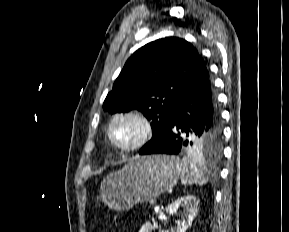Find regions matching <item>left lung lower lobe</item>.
Listing matches in <instances>:
<instances>
[{
  "label": "left lung lower lobe",
  "mask_w": 289,
  "mask_h": 232,
  "mask_svg": "<svg viewBox=\"0 0 289 232\" xmlns=\"http://www.w3.org/2000/svg\"><path fill=\"white\" fill-rule=\"evenodd\" d=\"M220 126L216 97L205 66L181 96L167 129L139 154L189 153L187 148L195 140L216 136Z\"/></svg>",
  "instance_id": "left-lung-lower-lobe-1"
}]
</instances>
